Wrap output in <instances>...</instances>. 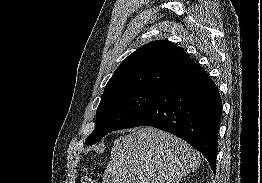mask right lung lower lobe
<instances>
[{"instance_id":"obj_1","label":"right lung lower lobe","mask_w":262,"mask_h":183,"mask_svg":"<svg viewBox=\"0 0 262 183\" xmlns=\"http://www.w3.org/2000/svg\"><path fill=\"white\" fill-rule=\"evenodd\" d=\"M222 100L218 88L199 67L161 87L123 129L152 126L187 141L215 173Z\"/></svg>"}]
</instances>
